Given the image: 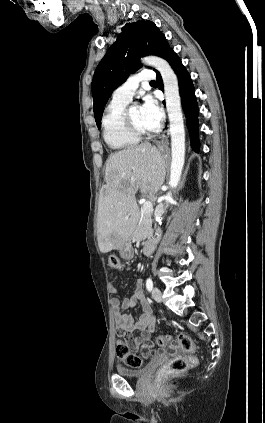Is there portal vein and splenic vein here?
I'll return each mask as SVG.
<instances>
[{
	"mask_svg": "<svg viewBox=\"0 0 265 423\" xmlns=\"http://www.w3.org/2000/svg\"><path fill=\"white\" fill-rule=\"evenodd\" d=\"M142 211L145 213H151L153 211V205L151 201H146L143 203Z\"/></svg>",
	"mask_w": 265,
	"mask_h": 423,
	"instance_id": "portal-vein-and-splenic-vein-1",
	"label": "portal vein and splenic vein"
}]
</instances>
